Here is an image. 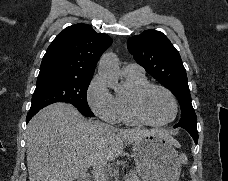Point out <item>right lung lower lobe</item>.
Returning a JSON list of instances; mask_svg holds the SVG:
<instances>
[{
  "label": "right lung lower lobe",
  "instance_id": "1",
  "mask_svg": "<svg viewBox=\"0 0 228 181\" xmlns=\"http://www.w3.org/2000/svg\"><path fill=\"white\" fill-rule=\"evenodd\" d=\"M40 109H30L27 115V122L39 111Z\"/></svg>",
  "mask_w": 228,
  "mask_h": 181
}]
</instances>
